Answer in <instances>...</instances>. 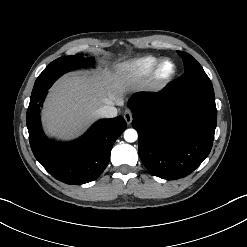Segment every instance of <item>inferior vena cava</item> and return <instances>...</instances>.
I'll list each match as a JSON object with an SVG mask.
<instances>
[{"label":"inferior vena cava","instance_id":"1","mask_svg":"<svg viewBox=\"0 0 247 247\" xmlns=\"http://www.w3.org/2000/svg\"><path fill=\"white\" fill-rule=\"evenodd\" d=\"M97 113L102 118H113L117 116V109L114 107V104H108L98 109Z\"/></svg>","mask_w":247,"mask_h":247}]
</instances>
